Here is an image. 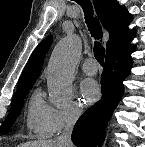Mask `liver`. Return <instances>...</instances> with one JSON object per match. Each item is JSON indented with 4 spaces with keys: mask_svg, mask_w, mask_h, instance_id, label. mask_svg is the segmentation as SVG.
Returning a JSON list of instances; mask_svg holds the SVG:
<instances>
[{
    "mask_svg": "<svg viewBox=\"0 0 145 147\" xmlns=\"http://www.w3.org/2000/svg\"><path fill=\"white\" fill-rule=\"evenodd\" d=\"M18 147H61L57 140H38L20 144Z\"/></svg>",
    "mask_w": 145,
    "mask_h": 147,
    "instance_id": "6515ba94",
    "label": "liver"
}]
</instances>
